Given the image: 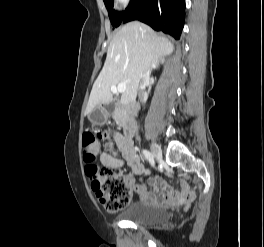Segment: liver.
I'll return each mask as SVG.
<instances>
[{
    "mask_svg": "<svg viewBox=\"0 0 264 247\" xmlns=\"http://www.w3.org/2000/svg\"><path fill=\"white\" fill-rule=\"evenodd\" d=\"M172 51L173 45L147 25L138 22L124 25L110 42L103 69L92 87L87 113L98 105L109 104L113 98L111 86L119 83L127 87L120 103L135 101L144 70L156 68Z\"/></svg>",
    "mask_w": 264,
    "mask_h": 247,
    "instance_id": "1",
    "label": "liver"
}]
</instances>
